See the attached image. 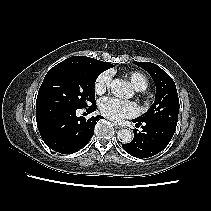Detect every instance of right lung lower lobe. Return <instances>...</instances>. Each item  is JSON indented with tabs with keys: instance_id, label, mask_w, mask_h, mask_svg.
Instances as JSON below:
<instances>
[{
	"instance_id": "98d812e1",
	"label": "right lung lower lobe",
	"mask_w": 211,
	"mask_h": 211,
	"mask_svg": "<svg viewBox=\"0 0 211 211\" xmlns=\"http://www.w3.org/2000/svg\"><path fill=\"white\" fill-rule=\"evenodd\" d=\"M96 105L86 111L92 113ZM77 109L62 107L36 108V121L45 144L62 154H72L82 149L92 138L94 127L102 116L85 119L76 116Z\"/></svg>"
}]
</instances>
